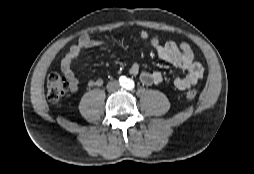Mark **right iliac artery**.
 <instances>
[{
  "instance_id": "right-iliac-artery-1",
  "label": "right iliac artery",
  "mask_w": 254,
  "mask_h": 174,
  "mask_svg": "<svg viewBox=\"0 0 254 174\" xmlns=\"http://www.w3.org/2000/svg\"><path fill=\"white\" fill-rule=\"evenodd\" d=\"M119 81H120L122 84H124V82L127 81V78H126L125 76H121V77L119 78Z\"/></svg>"
}]
</instances>
